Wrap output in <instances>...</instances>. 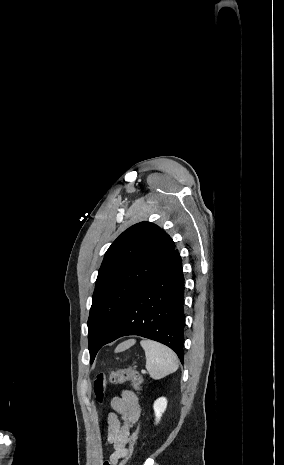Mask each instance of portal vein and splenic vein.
I'll return each instance as SVG.
<instances>
[{"label": "portal vein and splenic vein", "mask_w": 284, "mask_h": 465, "mask_svg": "<svg viewBox=\"0 0 284 465\" xmlns=\"http://www.w3.org/2000/svg\"><path fill=\"white\" fill-rule=\"evenodd\" d=\"M141 373H146V371H141Z\"/></svg>", "instance_id": "portal-vein-and-splenic-vein-1"}]
</instances>
